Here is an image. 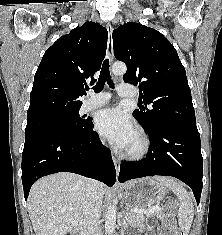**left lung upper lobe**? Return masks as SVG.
Returning <instances> with one entry per match:
<instances>
[{
    "label": "left lung upper lobe",
    "mask_w": 222,
    "mask_h": 235,
    "mask_svg": "<svg viewBox=\"0 0 222 235\" xmlns=\"http://www.w3.org/2000/svg\"><path fill=\"white\" fill-rule=\"evenodd\" d=\"M113 47L128 67L124 82L138 85L143 103L151 104L133 112L146 132L166 126L198 131L185 69L160 32L128 22L113 31Z\"/></svg>",
    "instance_id": "1"
}]
</instances>
